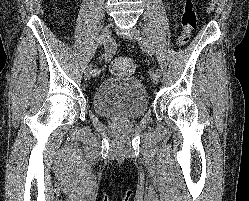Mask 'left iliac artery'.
Wrapping results in <instances>:
<instances>
[{
  "label": "left iliac artery",
  "instance_id": "1",
  "mask_svg": "<svg viewBox=\"0 0 249 201\" xmlns=\"http://www.w3.org/2000/svg\"><path fill=\"white\" fill-rule=\"evenodd\" d=\"M140 42H141V47L147 51L148 53L152 54V48L150 46L149 41L146 38H140ZM156 72L161 75V70L160 69H156Z\"/></svg>",
  "mask_w": 249,
  "mask_h": 201
}]
</instances>
